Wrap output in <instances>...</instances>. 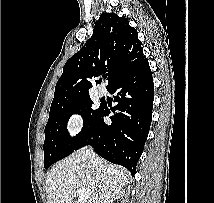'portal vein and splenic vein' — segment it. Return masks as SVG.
Segmentation results:
<instances>
[{
  "mask_svg": "<svg viewBox=\"0 0 214 203\" xmlns=\"http://www.w3.org/2000/svg\"><path fill=\"white\" fill-rule=\"evenodd\" d=\"M77 191H78V202L85 203L87 201V193L85 189L79 188Z\"/></svg>",
  "mask_w": 214,
  "mask_h": 203,
  "instance_id": "portal-vein-and-splenic-vein-1",
  "label": "portal vein and splenic vein"
}]
</instances>
